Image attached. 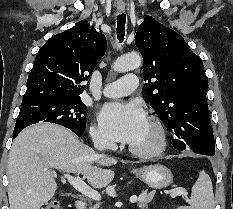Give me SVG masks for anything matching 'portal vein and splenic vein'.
I'll return each instance as SVG.
<instances>
[{"instance_id": "18ae733b", "label": "portal vein and splenic vein", "mask_w": 233, "mask_h": 209, "mask_svg": "<svg viewBox=\"0 0 233 209\" xmlns=\"http://www.w3.org/2000/svg\"><path fill=\"white\" fill-rule=\"evenodd\" d=\"M64 178L68 180V182L80 193L87 196L88 198H91L95 201L101 200V195L97 190L92 189L90 186H88L80 177H74L69 174H64ZM181 195L180 192H174L171 194L172 197ZM140 198V197H139ZM138 197L132 196L130 198L131 203H135L139 200Z\"/></svg>"}]
</instances>
